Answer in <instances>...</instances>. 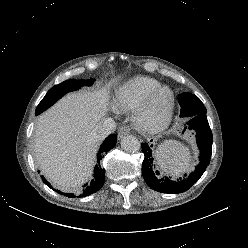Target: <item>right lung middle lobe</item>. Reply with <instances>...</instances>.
<instances>
[{"instance_id": "1", "label": "right lung middle lobe", "mask_w": 248, "mask_h": 248, "mask_svg": "<svg viewBox=\"0 0 248 248\" xmlns=\"http://www.w3.org/2000/svg\"><path fill=\"white\" fill-rule=\"evenodd\" d=\"M91 83V80L85 81V80H67L62 82L61 84H58L54 87H52L45 97L42 99V101L39 103V105L36 108L35 114L39 115L43 111H45L48 107L53 105L59 98H61L63 95H65L68 92L78 90L84 85H88Z\"/></svg>"}]
</instances>
